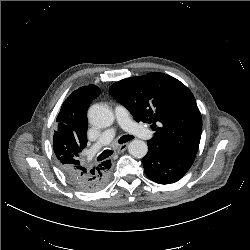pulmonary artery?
I'll use <instances>...</instances> for the list:
<instances>
[{"label": "pulmonary artery", "mask_w": 250, "mask_h": 250, "mask_svg": "<svg viewBox=\"0 0 250 250\" xmlns=\"http://www.w3.org/2000/svg\"><path fill=\"white\" fill-rule=\"evenodd\" d=\"M115 117L119 125L122 127L123 130L126 132L141 138V139H148L152 137L153 133L146 128L144 125L137 124L133 122L127 112V110L121 106L117 105L115 108ZM116 130L114 128H109L102 133L98 142H96L88 151L87 156L88 158H92L102 146L107 145L112 139L115 137Z\"/></svg>", "instance_id": "pulmonary-artery-1"}]
</instances>
